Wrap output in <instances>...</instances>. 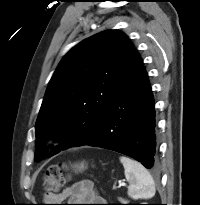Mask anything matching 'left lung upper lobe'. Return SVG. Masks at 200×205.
<instances>
[{"mask_svg":"<svg viewBox=\"0 0 200 205\" xmlns=\"http://www.w3.org/2000/svg\"><path fill=\"white\" fill-rule=\"evenodd\" d=\"M134 50L124 33L107 30L80 42L64 56L36 121V158L42 153L43 140L51 136L67 139L64 150L82 145L93 135Z\"/></svg>","mask_w":200,"mask_h":205,"instance_id":"5c2ea615","label":"left lung upper lobe"}]
</instances>
